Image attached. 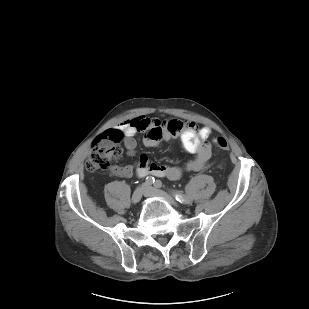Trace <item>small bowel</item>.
<instances>
[{"instance_id": "1", "label": "small bowel", "mask_w": 309, "mask_h": 309, "mask_svg": "<svg viewBox=\"0 0 309 309\" xmlns=\"http://www.w3.org/2000/svg\"><path fill=\"white\" fill-rule=\"evenodd\" d=\"M118 132L123 136V142L128 155L135 153L136 139L138 133H143V142L147 147H156L161 141L180 139L184 149L194 154V158L187 161L184 166L155 164L145 156L141 155L131 165L116 167L113 173L119 177H130L135 172L138 177L152 175L159 178L178 180L184 171L197 172L203 170L210 159L212 147L207 142L212 130L209 127H200L195 122H183L178 119L160 121L138 116L121 123L116 129L107 133Z\"/></svg>"}]
</instances>
